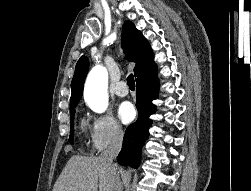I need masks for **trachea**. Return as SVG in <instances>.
<instances>
[{
	"instance_id": "3493384b",
	"label": "trachea",
	"mask_w": 251,
	"mask_h": 191,
	"mask_svg": "<svg viewBox=\"0 0 251 191\" xmlns=\"http://www.w3.org/2000/svg\"><path fill=\"white\" fill-rule=\"evenodd\" d=\"M127 84L129 86L130 89H135V80H134V76L133 75H129L127 77Z\"/></svg>"
}]
</instances>
